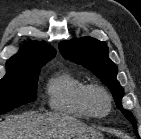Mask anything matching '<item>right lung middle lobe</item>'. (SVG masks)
I'll return each instance as SVG.
<instances>
[{
  "mask_svg": "<svg viewBox=\"0 0 141 139\" xmlns=\"http://www.w3.org/2000/svg\"><path fill=\"white\" fill-rule=\"evenodd\" d=\"M42 66L7 69L0 80V115L36 100V85Z\"/></svg>",
  "mask_w": 141,
  "mask_h": 139,
  "instance_id": "obj_1",
  "label": "right lung middle lobe"
}]
</instances>
